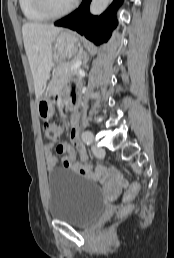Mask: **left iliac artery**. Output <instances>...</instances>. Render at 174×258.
<instances>
[{"label": "left iliac artery", "mask_w": 174, "mask_h": 258, "mask_svg": "<svg viewBox=\"0 0 174 258\" xmlns=\"http://www.w3.org/2000/svg\"><path fill=\"white\" fill-rule=\"evenodd\" d=\"M82 139L83 141L87 144V145H90L92 144L93 142V134L91 131H85L83 134H82Z\"/></svg>", "instance_id": "left-iliac-artery-1"}]
</instances>
